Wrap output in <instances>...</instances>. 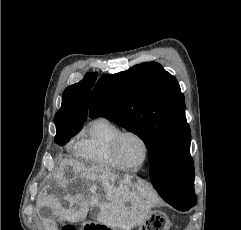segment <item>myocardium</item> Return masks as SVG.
<instances>
[{"mask_svg":"<svg viewBox=\"0 0 241 230\" xmlns=\"http://www.w3.org/2000/svg\"><path fill=\"white\" fill-rule=\"evenodd\" d=\"M127 135L135 136L137 139H139L141 141V143L144 146V150H145L144 159L138 166H135V167L125 165L124 163L121 162L120 157H119L120 143H121L122 139ZM111 151H112L113 159H114L115 163L117 164V166L123 170H128V171H137V170L141 169L147 163V161L150 157V147H149L147 140L139 132H137L135 130H130V129L120 130L116 134V136L114 137V139L112 141Z\"/></svg>","mask_w":241,"mask_h":230,"instance_id":"1","label":"myocardium"}]
</instances>
